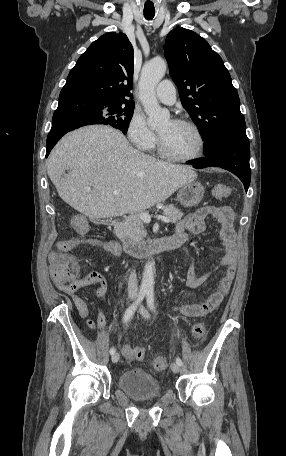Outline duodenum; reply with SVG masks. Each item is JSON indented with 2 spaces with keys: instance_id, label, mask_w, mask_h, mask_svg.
Here are the masks:
<instances>
[{
  "instance_id": "1",
  "label": "duodenum",
  "mask_w": 286,
  "mask_h": 456,
  "mask_svg": "<svg viewBox=\"0 0 286 456\" xmlns=\"http://www.w3.org/2000/svg\"><path fill=\"white\" fill-rule=\"evenodd\" d=\"M111 224L116 230L117 224L114 222ZM183 242L184 240L182 238L174 235L141 242H125L123 243V250L129 255L142 257L152 253L164 252L180 248Z\"/></svg>"
}]
</instances>
